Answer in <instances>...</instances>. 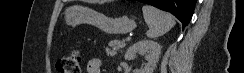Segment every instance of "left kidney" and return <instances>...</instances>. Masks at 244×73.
I'll return each mask as SVG.
<instances>
[{
  "label": "left kidney",
  "instance_id": "obj_1",
  "mask_svg": "<svg viewBox=\"0 0 244 73\" xmlns=\"http://www.w3.org/2000/svg\"><path fill=\"white\" fill-rule=\"evenodd\" d=\"M147 54V63L144 67L136 69L134 73H153L156 64L159 61L161 54V46L151 40H141L132 45L125 53L126 60H133L136 54Z\"/></svg>",
  "mask_w": 244,
  "mask_h": 73
}]
</instances>
